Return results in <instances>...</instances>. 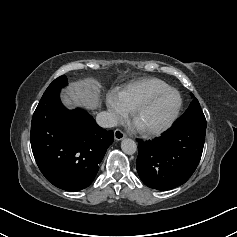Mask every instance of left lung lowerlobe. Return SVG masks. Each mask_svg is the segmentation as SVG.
Segmentation results:
<instances>
[{
	"instance_id": "1",
	"label": "left lung lower lobe",
	"mask_w": 237,
	"mask_h": 237,
	"mask_svg": "<svg viewBox=\"0 0 237 237\" xmlns=\"http://www.w3.org/2000/svg\"><path fill=\"white\" fill-rule=\"evenodd\" d=\"M206 127L172 126L152 141H138L137 172L145 185L168 190L185 183L201 159Z\"/></svg>"
}]
</instances>
